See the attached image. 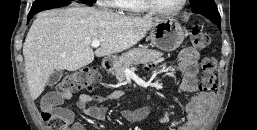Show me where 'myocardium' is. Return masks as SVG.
Listing matches in <instances>:
<instances>
[{"mask_svg": "<svg viewBox=\"0 0 257 130\" xmlns=\"http://www.w3.org/2000/svg\"><path fill=\"white\" fill-rule=\"evenodd\" d=\"M141 1L144 7L147 9V11H150L155 14L165 15V16H173L180 13L187 4V0H182L180 5L177 8L172 10H165L156 6L153 0H141Z\"/></svg>", "mask_w": 257, "mask_h": 130, "instance_id": "f54148a6", "label": "myocardium"}]
</instances>
